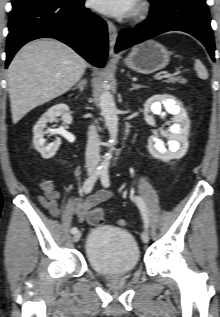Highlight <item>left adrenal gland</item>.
<instances>
[{"label":"left adrenal gland","instance_id":"left-adrenal-gland-1","mask_svg":"<svg viewBox=\"0 0 220 317\" xmlns=\"http://www.w3.org/2000/svg\"><path fill=\"white\" fill-rule=\"evenodd\" d=\"M131 85H132L131 90H132V89H137V88L142 87V86H140V85H136V84H134V83H132Z\"/></svg>","mask_w":220,"mask_h":317}]
</instances>
